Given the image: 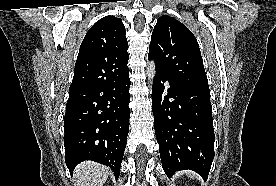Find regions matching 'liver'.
Masks as SVG:
<instances>
[{"label":"liver","mask_w":276,"mask_h":186,"mask_svg":"<svg viewBox=\"0 0 276 186\" xmlns=\"http://www.w3.org/2000/svg\"><path fill=\"white\" fill-rule=\"evenodd\" d=\"M108 176V167L92 161L81 163L74 173L76 186H102Z\"/></svg>","instance_id":"1"}]
</instances>
